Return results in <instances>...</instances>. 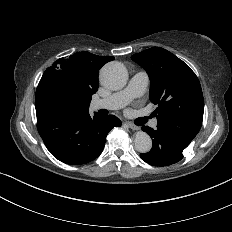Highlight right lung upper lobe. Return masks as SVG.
<instances>
[{"instance_id": "right-lung-upper-lobe-1", "label": "right lung upper lobe", "mask_w": 232, "mask_h": 232, "mask_svg": "<svg viewBox=\"0 0 232 232\" xmlns=\"http://www.w3.org/2000/svg\"><path fill=\"white\" fill-rule=\"evenodd\" d=\"M112 56H97L90 52H77L69 58H61L47 68L48 71H56L71 79L86 95L92 96L98 90V71L109 61ZM50 103L42 94L38 85L35 95V104L39 106Z\"/></svg>"}]
</instances>
